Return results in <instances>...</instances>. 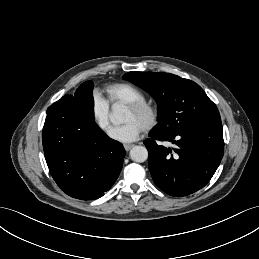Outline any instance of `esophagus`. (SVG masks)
Returning <instances> with one entry per match:
<instances>
[{"instance_id": "34e87169", "label": "esophagus", "mask_w": 259, "mask_h": 259, "mask_svg": "<svg viewBox=\"0 0 259 259\" xmlns=\"http://www.w3.org/2000/svg\"><path fill=\"white\" fill-rule=\"evenodd\" d=\"M132 147H133V145L124 144V148H125V150H126L127 152H128Z\"/></svg>"}]
</instances>
